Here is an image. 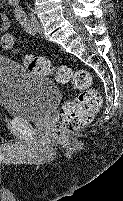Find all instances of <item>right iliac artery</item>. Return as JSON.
Returning a JSON list of instances; mask_svg holds the SVG:
<instances>
[{
  "label": "right iliac artery",
  "instance_id": "obj_1",
  "mask_svg": "<svg viewBox=\"0 0 123 201\" xmlns=\"http://www.w3.org/2000/svg\"><path fill=\"white\" fill-rule=\"evenodd\" d=\"M18 2H19V0H9V3H10L13 7L17 6V5H18Z\"/></svg>",
  "mask_w": 123,
  "mask_h": 201
}]
</instances>
